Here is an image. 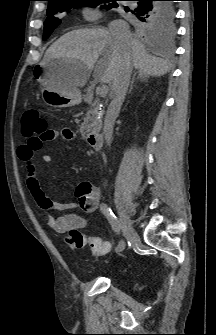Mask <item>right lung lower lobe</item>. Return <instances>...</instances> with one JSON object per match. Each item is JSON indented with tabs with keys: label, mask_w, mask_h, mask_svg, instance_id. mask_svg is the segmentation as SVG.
Masks as SVG:
<instances>
[{
	"label": "right lung lower lobe",
	"mask_w": 216,
	"mask_h": 335,
	"mask_svg": "<svg viewBox=\"0 0 216 335\" xmlns=\"http://www.w3.org/2000/svg\"><path fill=\"white\" fill-rule=\"evenodd\" d=\"M137 1L138 6L131 8L137 17V24L144 25L152 21H159L163 24L173 25L174 24V9H166L161 6L164 2H170L169 0H129ZM127 11V7L125 8ZM136 24V23H135ZM136 24V25H137Z\"/></svg>",
	"instance_id": "obj_1"
}]
</instances>
